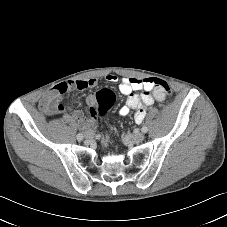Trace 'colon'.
Instances as JSON below:
<instances>
[{"label":"colon","mask_w":227,"mask_h":227,"mask_svg":"<svg viewBox=\"0 0 227 227\" xmlns=\"http://www.w3.org/2000/svg\"><path fill=\"white\" fill-rule=\"evenodd\" d=\"M150 84L152 86L159 87L166 94L170 93V88L168 84L158 79L157 77H152L150 79ZM115 102V95L110 89H102L95 95L94 102L90 107V115L93 119H97L100 116H104L108 110L112 107Z\"/></svg>","instance_id":"obj_1"}]
</instances>
